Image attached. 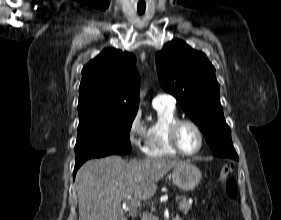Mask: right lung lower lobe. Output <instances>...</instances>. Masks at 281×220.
Returning a JSON list of instances; mask_svg holds the SVG:
<instances>
[{
  "instance_id": "1",
  "label": "right lung lower lobe",
  "mask_w": 281,
  "mask_h": 220,
  "mask_svg": "<svg viewBox=\"0 0 281 220\" xmlns=\"http://www.w3.org/2000/svg\"><path fill=\"white\" fill-rule=\"evenodd\" d=\"M84 162H85V161L75 163V168H74V172H73L74 177H75V175H76L77 170L79 169V167H80Z\"/></svg>"
}]
</instances>
